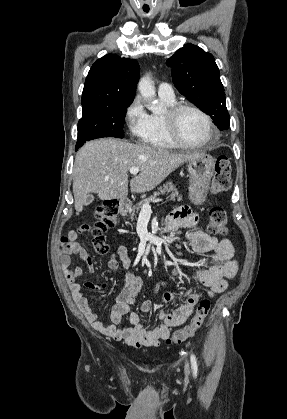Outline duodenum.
Masks as SVG:
<instances>
[{"label": "duodenum", "mask_w": 287, "mask_h": 419, "mask_svg": "<svg viewBox=\"0 0 287 419\" xmlns=\"http://www.w3.org/2000/svg\"><path fill=\"white\" fill-rule=\"evenodd\" d=\"M128 206H129V202L126 199H122L120 201V207H121L122 213H125L127 211ZM157 239H158V236H155L154 240H157Z\"/></svg>", "instance_id": "obj_1"}]
</instances>
